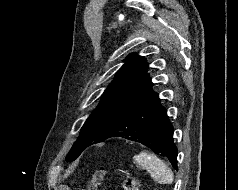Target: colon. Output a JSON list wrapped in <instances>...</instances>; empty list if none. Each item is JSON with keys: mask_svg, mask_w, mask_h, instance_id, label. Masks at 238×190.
Wrapping results in <instances>:
<instances>
[{"mask_svg": "<svg viewBox=\"0 0 238 190\" xmlns=\"http://www.w3.org/2000/svg\"><path fill=\"white\" fill-rule=\"evenodd\" d=\"M105 173L106 171L103 168L96 170L92 176L88 190H97ZM123 190H142V189L138 180L134 176L127 175L123 182Z\"/></svg>", "mask_w": 238, "mask_h": 190, "instance_id": "colon-1", "label": "colon"}]
</instances>
